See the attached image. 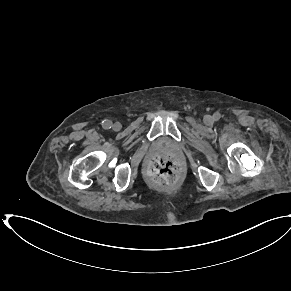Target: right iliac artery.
<instances>
[{"label":"right iliac artery","instance_id":"82829eb1","mask_svg":"<svg viewBox=\"0 0 291 291\" xmlns=\"http://www.w3.org/2000/svg\"><path fill=\"white\" fill-rule=\"evenodd\" d=\"M112 126H113V125H112V122H111L110 120H104V121L102 122V127H103L104 129H110Z\"/></svg>","mask_w":291,"mask_h":291}]
</instances>
